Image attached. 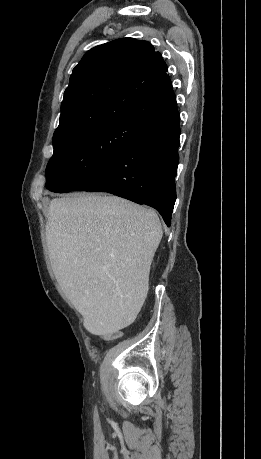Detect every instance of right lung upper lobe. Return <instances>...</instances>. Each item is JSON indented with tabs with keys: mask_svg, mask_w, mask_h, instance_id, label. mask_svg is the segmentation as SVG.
I'll use <instances>...</instances> for the list:
<instances>
[{
	"mask_svg": "<svg viewBox=\"0 0 261 459\" xmlns=\"http://www.w3.org/2000/svg\"><path fill=\"white\" fill-rule=\"evenodd\" d=\"M176 108L161 54L147 41L122 38L91 49L73 69L53 138L119 120L150 125Z\"/></svg>",
	"mask_w": 261,
	"mask_h": 459,
	"instance_id": "cb5924a9",
	"label": "right lung upper lobe"
}]
</instances>
